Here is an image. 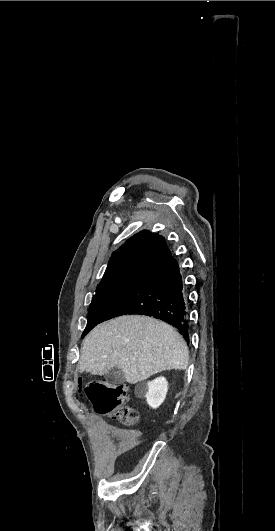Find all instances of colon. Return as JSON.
<instances>
[{
  "label": "colon",
  "mask_w": 275,
  "mask_h": 531,
  "mask_svg": "<svg viewBox=\"0 0 275 531\" xmlns=\"http://www.w3.org/2000/svg\"><path fill=\"white\" fill-rule=\"evenodd\" d=\"M80 389H85L92 408L101 415H109L122 422L124 426L131 427L138 418V411L126 404L129 396V387L115 381L91 380L85 378L77 381Z\"/></svg>",
  "instance_id": "1"
}]
</instances>
